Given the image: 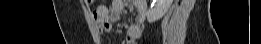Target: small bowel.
Returning <instances> with one entry per match:
<instances>
[{
	"label": "small bowel",
	"mask_w": 261,
	"mask_h": 44,
	"mask_svg": "<svg viewBox=\"0 0 261 44\" xmlns=\"http://www.w3.org/2000/svg\"><path fill=\"white\" fill-rule=\"evenodd\" d=\"M127 2L124 0H113L108 5H100L94 12V20L97 25V29L100 33L110 32L112 29L111 24L116 22ZM136 7L141 22L146 12V5L143 1L136 0L133 2ZM105 17V18H104ZM141 36L140 23H134L130 25L126 32L125 43L134 44Z\"/></svg>",
	"instance_id": "c3829d8e"
}]
</instances>
